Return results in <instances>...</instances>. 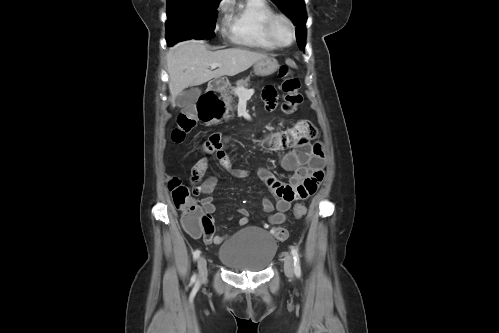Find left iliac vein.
Wrapping results in <instances>:
<instances>
[{
	"instance_id": "obj_1",
	"label": "left iliac vein",
	"mask_w": 499,
	"mask_h": 333,
	"mask_svg": "<svg viewBox=\"0 0 499 333\" xmlns=\"http://www.w3.org/2000/svg\"><path fill=\"white\" fill-rule=\"evenodd\" d=\"M284 271L287 277L293 278L294 276V265L293 258L290 254H287L284 258Z\"/></svg>"
}]
</instances>
